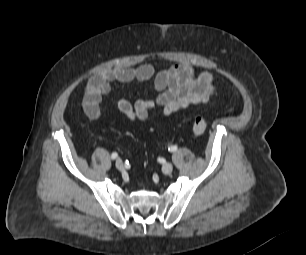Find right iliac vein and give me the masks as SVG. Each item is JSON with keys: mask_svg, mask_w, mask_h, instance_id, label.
Listing matches in <instances>:
<instances>
[{"mask_svg": "<svg viewBox=\"0 0 306 255\" xmlns=\"http://www.w3.org/2000/svg\"><path fill=\"white\" fill-rule=\"evenodd\" d=\"M115 166L118 170H123L124 169V163L121 159H117L115 162Z\"/></svg>", "mask_w": 306, "mask_h": 255, "instance_id": "obj_1", "label": "right iliac vein"}]
</instances>
